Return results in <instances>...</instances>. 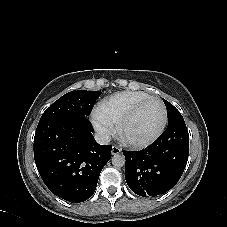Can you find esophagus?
Wrapping results in <instances>:
<instances>
[{
	"instance_id": "1",
	"label": "esophagus",
	"mask_w": 227,
	"mask_h": 227,
	"mask_svg": "<svg viewBox=\"0 0 227 227\" xmlns=\"http://www.w3.org/2000/svg\"><path fill=\"white\" fill-rule=\"evenodd\" d=\"M121 149L117 146H113L112 147V155H117V154H120L121 153Z\"/></svg>"
}]
</instances>
